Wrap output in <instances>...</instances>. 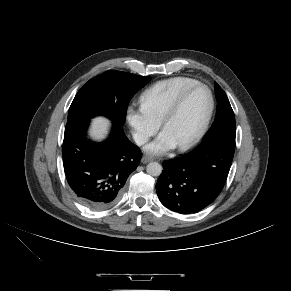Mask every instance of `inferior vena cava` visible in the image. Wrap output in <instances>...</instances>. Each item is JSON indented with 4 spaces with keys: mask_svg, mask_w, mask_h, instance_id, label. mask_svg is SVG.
<instances>
[{
    "mask_svg": "<svg viewBox=\"0 0 291 291\" xmlns=\"http://www.w3.org/2000/svg\"><path fill=\"white\" fill-rule=\"evenodd\" d=\"M133 140L137 145L141 146L148 142V137L140 133H134Z\"/></svg>",
    "mask_w": 291,
    "mask_h": 291,
    "instance_id": "1",
    "label": "inferior vena cava"
}]
</instances>
